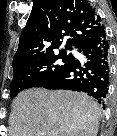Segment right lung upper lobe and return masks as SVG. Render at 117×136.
I'll use <instances>...</instances> for the list:
<instances>
[{"instance_id":"cb5924a9","label":"right lung upper lobe","mask_w":117,"mask_h":136,"mask_svg":"<svg viewBox=\"0 0 117 136\" xmlns=\"http://www.w3.org/2000/svg\"><path fill=\"white\" fill-rule=\"evenodd\" d=\"M102 26L100 17L87 0H34L13 58V69L53 55L64 36L65 50L78 48Z\"/></svg>"}]
</instances>
